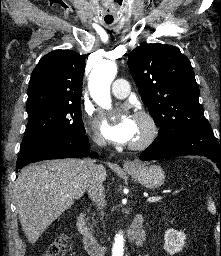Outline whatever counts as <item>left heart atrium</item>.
<instances>
[{
	"mask_svg": "<svg viewBox=\"0 0 221 256\" xmlns=\"http://www.w3.org/2000/svg\"><path fill=\"white\" fill-rule=\"evenodd\" d=\"M101 130L104 136L113 142H130L134 139L137 132L136 117L124 113L113 123L104 118L101 121Z\"/></svg>",
	"mask_w": 221,
	"mask_h": 256,
	"instance_id": "1",
	"label": "left heart atrium"
}]
</instances>
